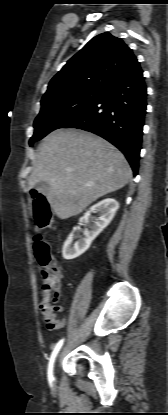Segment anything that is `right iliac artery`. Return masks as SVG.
I'll return each mask as SVG.
<instances>
[{
    "label": "right iliac artery",
    "instance_id": "1",
    "mask_svg": "<svg viewBox=\"0 0 168 415\" xmlns=\"http://www.w3.org/2000/svg\"><path fill=\"white\" fill-rule=\"evenodd\" d=\"M64 343V339H61L54 347V350L51 354L50 360H49V364H48V379L49 381L53 380V365H54V361L55 358L60 350V348L62 347Z\"/></svg>",
    "mask_w": 168,
    "mask_h": 415
}]
</instances>
